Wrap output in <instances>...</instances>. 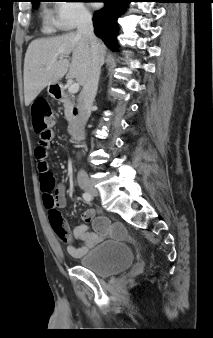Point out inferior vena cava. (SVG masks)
<instances>
[{"mask_svg": "<svg viewBox=\"0 0 213 338\" xmlns=\"http://www.w3.org/2000/svg\"><path fill=\"white\" fill-rule=\"evenodd\" d=\"M77 35L82 36L89 41L92 57L89 77L80 92L78 103L79 121L81 126H84L90 116V109L97 93L101 66L104 63L105 51L100 41L94 35L91 15L88 12H83L81 14ZM77 178L78 181H88V175L83 170L79 171Z\"/></svg>", "mask_w": 213, "mask_h": 338, "instance_id": "obj_1", "label": "inferior vena cava"}]
</instances>
